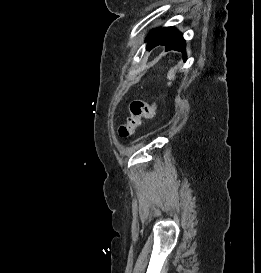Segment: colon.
Here are the masks:
<instances>
[{"label":"colon","mask_w":261,"mask_h":273,"mask_svg":"<svg viewBox=\"0 0 261 273\" xmlns=\"http://www.w3.org/2000/svg\"><path fill=\"white\" fill-rule=\"evenodd\" d=\"M157 103H147L141 100H133L129 104V115L126 121L118 128L121 138L131 137L142 125L143 120H151L156 116Z\"/></svg>","instance_id":"1"}]
</instances>
